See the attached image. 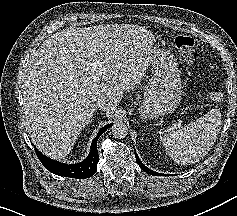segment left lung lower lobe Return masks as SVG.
<instances>
[{"instance_id":"obj_1","label":"left lung lower lobe","mask_w":237,"mask_h":216,"mask_svg":"<svg viewBox=\"0 0 237 216\" xmlns=\"http://www.w3.org/2000/svg\"><path fill=\"white\" fill-rule=\"evenodd\" d=\"M135 157H136V161L137 163L139 164V166L141 167V169L145 172H147L148 174L150 175H153V176H162L161 173H157V172H154L152 170H150L149 168H147L139 159L137 153L135 152ZM164 175V174H163ZM166 176V175H165Z\"/></svg>"}]
</instances>
